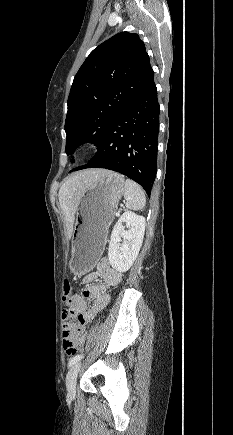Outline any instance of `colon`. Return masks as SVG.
Here are the masks:
<instances>
[{
	"label": "colon",
	"mask_w": 233,
	"mask_h": 435,
	"mask_svg": "<svg viewBox=\"0 0 233 435\" xmlns=\"http://www.w3.org/2000/svg\"><path fill=\"white\" fill-rule=\"evenodd\" d=\"M72 290L73 287L71 282L65 279L62 283V297L65 303H67V300L71 296ZM63 346L68 355H73L76 353L77 345L71 333V326H68L63 330Z\"/></svg>",
	"instance_id": "colon-1"
}]
</instances>
